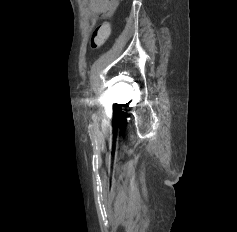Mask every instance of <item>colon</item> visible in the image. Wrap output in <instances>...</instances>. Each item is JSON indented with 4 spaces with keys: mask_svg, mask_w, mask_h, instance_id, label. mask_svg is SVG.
Here are the masks:
<instances>
[{
    "mask_svg": "<svg viewBox=\"0 0 237 232\" xmlns=\"http://www.w3.org/2000/svg\"><path fill=\"white\" fill-rule=\"evenodd\" d=\"M110 26L107 23L99 25L93 32L91 47L97 49L101 47L110 36Z\"/></svg>",
    "mask_w": 237,
    "mask_h": 232,
    "instance_id": "obj_1",
    "label": "colon"
}]
</instances>
